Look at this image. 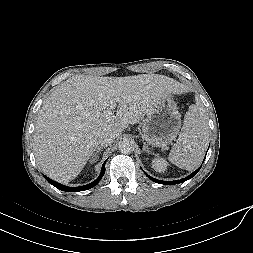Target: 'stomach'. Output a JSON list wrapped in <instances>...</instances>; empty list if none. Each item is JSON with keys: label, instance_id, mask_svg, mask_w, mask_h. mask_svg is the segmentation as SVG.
<instances>
[{"label": "stomach", "instance_id": "stomach-1", "mask_svg": "<svg viewBox=\"0 0 253 253\" xmlns=\"http://www.w3.org/2000/svg\"><path fill=\"white\" fill-rule=\"evenodd\" d=\"M181 128V114L171 94L161 98L142 123V138L153 147H165L176 139Z\"/></svg>", "mask_w": 253, "mask_h": 253}]
</instances>
